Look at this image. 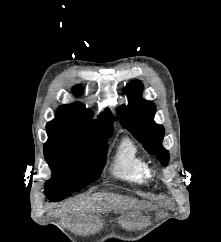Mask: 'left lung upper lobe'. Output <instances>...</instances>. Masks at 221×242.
<instances>
[{
  "instance_id": "1",
  "label": "left lung upper lobe",
  "mask_w": 221,
  "mask_h": 242,
  "mask_svg": "<svg viewBox=\"0 0 221 242\" xmlns=\"http://www.w3.org/2000/svg\"><path fill=\"white\" fill-rule=\"evenodd\" d=\"M143 85L135 80L126 85L124 92L129 98L127 106L118 109L121 124L140 141L144 148L157 156L163 166L169 161V153L162 146L164 128L154 122L156 107L151 101L141 99Z\"/></svg>"
}]
</instances>
